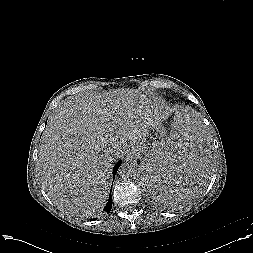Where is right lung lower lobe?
Returning <instances> with one entry per match:
<instances>
[{"instance_id": "obj_1", "label": "right lung lower lobe", "mask_w": 253, "mask_h": 253, "mask_svg": "<svg viewBox=\"0 0 253 253\" xmlns=\"http://www.w3.org/2000/svg\"><path fill=\"white\" fill-rule=\"evenodd\" d=\"M121 165V161H119L113 168V177H115L117 171H118V168L119 166ZM111 208H112V199H111V193H110V197H109V200L105 206V208L103 209L106 213H109L111 211Z\"/></svg>"}]
</instances>
